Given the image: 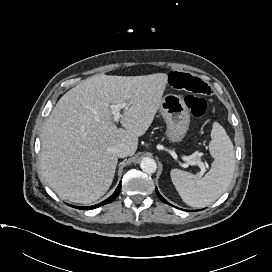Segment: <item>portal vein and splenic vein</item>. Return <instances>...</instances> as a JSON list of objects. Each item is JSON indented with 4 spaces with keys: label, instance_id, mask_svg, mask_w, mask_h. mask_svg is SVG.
<instances>
[{
    "label": "portal vein and splenic vein",
    "instance_id": "18ae733b",
    "mask_svg": "<svg viewBox=\"0 0 272 272\" xmlns=\"http://www.w3.org/2000/svg\"><path fill=\"white\" fill-rule=\"evenodd\" d=\"M126 106H127V103L110 105V109L112 111L113 121L114 122H117L120 119V117H121L120 109L125 108ZM183 159L185 161H187L188 164H190V165H193V166L197 165V166H199L200 169H201V171L199 172L198 175L200 177L203 176V174L205 173V165H204V163L202 161H200V160H191V158L188 157V156H184Z\"/></svg>",
    "mask_w": 272,
    "mask_h": 272
}]
</instances>
